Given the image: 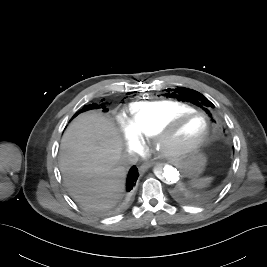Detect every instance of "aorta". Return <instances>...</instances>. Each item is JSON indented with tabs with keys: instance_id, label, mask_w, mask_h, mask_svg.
I'll list each match as a JSON object with an SVG mask.
<instances>
[{
	"instance_id": "aorta-1",
	"label": "aorta",
	"mask_w": 267,
	"mask_h": 267,
	"mask_svg": "<svg viewBox=\"0 0 267 267\" xmlns=\"http://www.w3.org/2000/svg\"><path fill=\"white\" fill-rule=\"evenodd\" d=\"M154 174L158 179L168 184L176 183L180 176L176 167L163 164H158L154 167Z\"/></svg>"
}]
</instances>
